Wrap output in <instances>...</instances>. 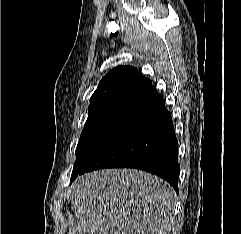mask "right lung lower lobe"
Wrapping results in <instances>:
<instances>
[{"label":"right lung lower lobe","mask_w":241,"mask_h":234,"mask_svg":"<svg viewBox=\"0 0 241 234\" xmlns=\"http://www.w3.org/2000/svg\"><path fill=\"white\" fill-rule=\"evenodd\" d=\"M120 167L155 174L169 182L178 193V141L171 113L166 110L158 92L138 104L101 141L78 175L101 168Z\"/></svg>","instance_id":"obj_1"}]
</instances>
